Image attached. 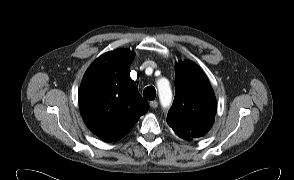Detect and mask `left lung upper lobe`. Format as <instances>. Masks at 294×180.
Wrapping results in <instances>:
<instances>
[{"mask_svg": "<svg viewBox=\"0 0 294 180\" xmlns=\"http://www.w3.org/2000/svg\"><path fill=\"white\" fill-rule=\"evenodd\" d=\"M176 95L167 115L168 125L185 140L204 136L212 127L216 98L203 71L193 62H179L175 69Z\"/></svg>", "mask_w": 294, "mask_h": 180, "instance_id": "obj_1", "label": "left lung upper lobe"}]
</instances>
